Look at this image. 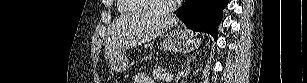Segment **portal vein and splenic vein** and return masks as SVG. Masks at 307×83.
Returning a JSON list of instances; mask_svg holds the SVG:
<instances>
[{"mask_svg": "<svg viewBox=\"0 0 307 83\" xmlns=\"http://www.w3.org/2000/svg\"><path fill=\"white\" fill-rule=\"evenodd\" d=\"M173 79V75L172 74H168L167 76H165V80L166 81H171Z\"/></svg>", "mask_w": 307, "mask_h": 83, "instance_id": "portal-vein-and-splenic-vein-1", "label": "portal vein and splenic vein"}]
</instances>
